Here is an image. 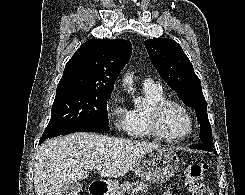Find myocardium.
Returning <instances> with one entry per match:
<instances>
[{
    "mask_svg": "<svg viewBox=\"0 0 245 195\" xmlns=\"http://www.w3.org/2000/svg\"><path fill=\"white\" fill-rule=\"evenodd\" d=\"M169 106H177L179 108H181L187 115L188 120H189V128L188 131L186 132V134H184L183 136L180 137H170L168 135H166L164 133V131L161 128V117L163 112L169 107ZM148 125L150 128L151 133L165 141V142H181L186 140L188 137L191 136V134L194 131V126H195V121H194V117L192 112L190 111V109L183 104L182 102L178 101V100H174V99H165L162 100L158 103H156L155 105H153L148 113Z\"/></svg>",
    "mask_w": 245,
    "mask_h": 195,
    "instance_id": "1",
    "label": "myocardium"
}]
</instances>
